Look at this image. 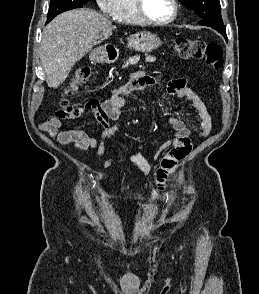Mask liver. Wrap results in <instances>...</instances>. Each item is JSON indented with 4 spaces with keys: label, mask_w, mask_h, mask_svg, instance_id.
<instances>
[{
    "label": "liver",
    "mask_w": 259,
    "mask_h": 294,
    "mask_svg": "<svg viewBox=\"0 0 259 294\" xmlns=\"http://www.w3.org/2000/svg\"><path fill=\"white\" fill-rule=\"evenodd\" d=\"M115 26L95 10L82 8L64 12L43 30L40 60L51 88L59 87L72 67L84 57L101 37L112 35Z\"/></svg>",
    "instance_id": "1"
}]
</instances>
